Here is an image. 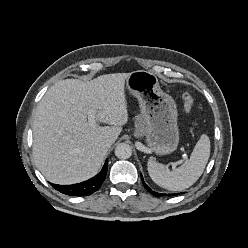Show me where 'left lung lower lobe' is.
<instances>
[{
	"label": "left lung lower lobe",
	"mask_w": 248,
	"mask_h": 248,
	"mask_svg": "<svg viewBox=\"0 0 248 248\" xmlns=\"http://www.w3.org/2000/svg\"><path fill=\"white\" fill-rule=\"evenodd\" d=\"M141 179H142V182H143L144 187H145L152 195H154V196H156V197H160V196L166 195V194L157 193V192H155V191H152V190L145 184L142 175H141ZM171 195H176V194H168V196H171ZM177 195H179V193H178Z\"/></svg>",
	"instance_id": "0a47b994"
}]
</instances>
